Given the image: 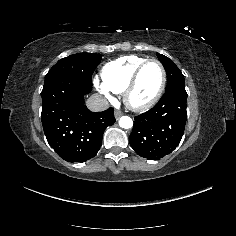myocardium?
<instances>
[{
    "label": "myocardium",
    "mask_w": 236,
    "mask_h": 236,
    "mask_svg": "<svg viewBox=\"0 0 236 236\" xmlns=\"http://www.w3.org/2000/svg\"><path fill=\"white\" fill-rule=\"evenodd\" d=\"M150 63H156L160 66L161 71H162L161 83L158 87L157 92L149 101H147L145 103H135L131 100L132 91L138 81V78H139L142 70ZM166 83H167V71H166L164 64L160 60L155 59V58L147 59L137 66V68L133 72L129 82L127 83V85L123 91L124 102L132 110H135V111L148 110L158 103V101L160 100V98L164 92V89L166 87Z\"/></svg>",
    "instance_id": "f54148a6"
}]
</instances>
